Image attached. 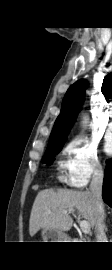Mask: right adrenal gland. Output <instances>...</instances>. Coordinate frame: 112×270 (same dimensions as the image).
<instances>
[{
	"mask_svg": "<svg viewBox=\"0 0 112 270\" xmlns=\"http://www.w3.org/2000/svg\"><path fill=\"white\" fill-rule=\"evenodd\" d=\"M104 226H105V229H106V231H107V227H106L105 223H104Z\"/></svg>",
	"mask_w": 112,
	"mask_h": 270,
	"instance_id": "obj_1",
	"label": "right adrenal gland"
}]
</instances>
